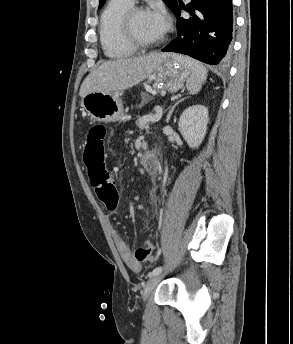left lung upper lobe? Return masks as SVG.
<instances>
[{
    "instance_id": "5c2ea615",
    "label": "left lung upper lobe",
    "mask_w": 293,
    "mask_h": 344,
    "mask_svg": "<svg viewBox=\"0 0 293 344\" xmlns=\"http://www.w3.org/2000/svg\"><path fill=\"white\" fill-rule=\"evenodd\" d=\"M163 1L171 10H173L177 4V0H163ZM104 2L105 0H99V8L103 6Z\"/></svg>"
}]
</instances>
